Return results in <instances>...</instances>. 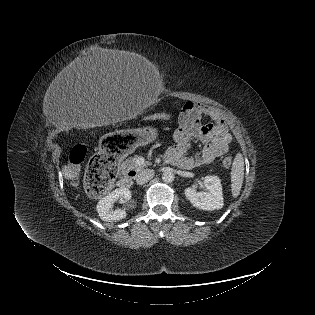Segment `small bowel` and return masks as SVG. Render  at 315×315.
I'll return each instance as SVG.
<instances>
[{
  "mask_svg": "<svg viewBox=\"0 0 315 315\" xmlns=\"http://www.w3.org/2000/svg\"><path fill=\"white\" fill-rule=\"evenodd\" d=\"M204 117L211 122L203 123ZM193 139L204 144L195 156L189 154ZM173 140L175 144L168 150L166 160L182 169H193L224 155L228 151L231 135L216 109L188 102L178 115Z\"/></svg>",
  "mask_w": 315,
  "mask_h": 315,
  "instance_id": "c3829d8e",
  "label": "small bowel"
}]
</instances>
